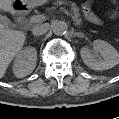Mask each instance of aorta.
Returning a JSON list of instances; mask_svg holds the SVG:
<instances>
[{"label": "aorta", "instance_id": "762f6f07", "mask_svg": "<svg viewBox=\"0 0 119 119\" xmlns=\"http://www.w3.org/2000/svg\"><path fill=\"white\" fill-rule=\"evenodd\" d=\"M51 28L55 35L61 36L66 34L68 25L65 21L56 20L52 23Z\"/></svg>", "mask_w": 119, "mask_h": 119}]
</instances>
